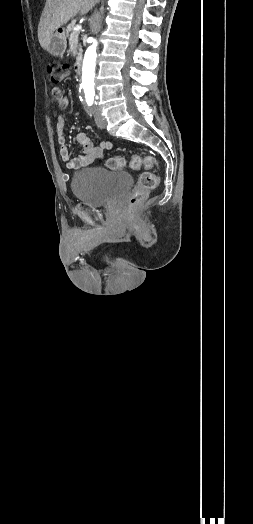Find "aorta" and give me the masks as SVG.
<instances>
[{"mask_svg":"<svg viewBox=\"0 0 253 524\" xmlns=\"http://www.w3.org/2000/svg\"><path fill=\"white\" fill-rule=\"evenodd\" d=\"M97 42L92 39V44L87 48L83 60L81 87L84 90L86 101H92L95 95L94 77L96 63Z\"/></svg>","mask_w":253,"mask_h":524,"instance_id":"1","label":"aorta"}]
</instances>
